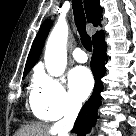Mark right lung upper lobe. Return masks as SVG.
I'll return each instance as SVG.
<instances>
[{
	"mask_svg": "<svg viewBox=\"0 0 136 136\" xmlns=\"http://www.w3.org/2000/svg\"><path fill=\"white\" fill-rule=\"evenodd\" d=\"M85 12L89 23H92L94 26L99 25L102 20V8L99 5V0H85ZM51 24V20H46L41 25L28 55L24 74H28L31 68L38 61ZM103 36V31H97L96 34L92 36L93 43Z\"/></svg>",
	"mask_w": 136,
	"mask_h": 136,
	"instance_id": "cb5924a9",
	"label": "right lung upper lobe"
}]
</instances>
